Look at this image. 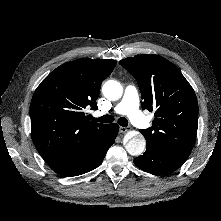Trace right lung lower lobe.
Returning a JSON list of instances; mask_svg holds the SVG:
<instances>
[{"instance_id":"98d812e1","label":"right lung lower lobe","mask_w":221,"mask_h":221,"mask_svg":"<svg viewBox=\"0 0 221 221\" xmlns=\"http://www.w3.org/2000/svg\"><path fill=\"white\" fill-rule=\"evenodd\" d=\"M119 126L109 124L106 126L100 140L88 151L67 158L50 167L59 175L71 177L87 173L98 167L111 145L115 142Z\"/></svg>"}]
</instances>
